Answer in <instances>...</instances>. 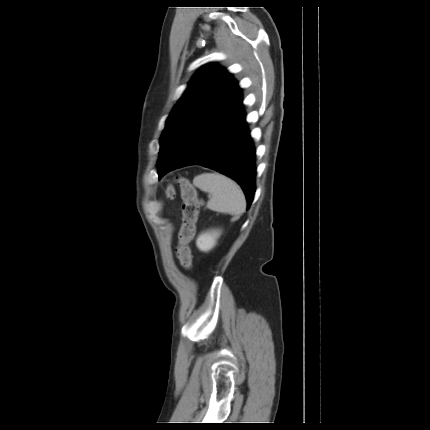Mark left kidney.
Wrapping results in <instances>:
<instances>
[{"label": "left kidney", "mask_w": 430, "mask_h": 430, "mask_svg": "<svg viewBox=\"0 0 430 430\" xmlns=\"http://www.w3.org/2000/svg\"><path fill=\"white\" fill-rule=\"evenodd\" d=\"M219 236L220 231L216 229L202 232L197 237L196 246L200 251L208 252L216 245Z\"/></svg>", "instance_id": "5707ae66"}]
</instances>
